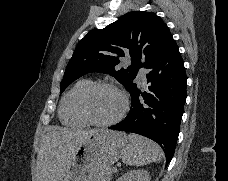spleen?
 Instances as JSON below:
<instances>
[{"label":"spleen","instance_id":"obj_1","mask_svg":"<svg viewBox=\"0 0 228 181\" xmlns=\"http://www.w3.org/2000/svg\"><path fill=\"white\" fill-rule=\"evenodd\" d=\"M129 145L122 151V163L130 167H144L149 163H160L163 151L157 143L140 135H129Z\"/></svg>","mask_w":228,"mask_h":181}]
</instances>
